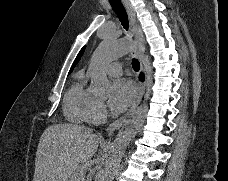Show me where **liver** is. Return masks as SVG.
I'll return each instance as SVG.
<instances>
[{"instance_id": "liver-1", "label": "liver", "mask_w": 228, "mask_h": 181, "mask_svg": "<svg viewBox=\"0 0 228 181\" xmlns=\"http://www.w3.org/2000/svg\"><path fill=\"white\" fill-rule=\"evenodd\" d=\"M79 125L47 127L38 143L33 181H67L80 163L95 155L102 137Z\"/></svg>"}]
</instances>
